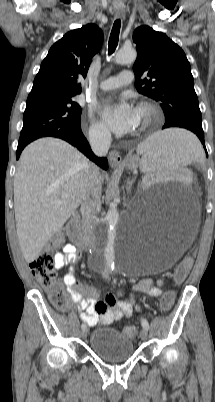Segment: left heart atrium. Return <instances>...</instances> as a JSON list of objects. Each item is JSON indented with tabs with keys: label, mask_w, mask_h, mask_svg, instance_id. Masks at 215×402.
<instances>
[{
	"label": "left heart atrium",
	"mask_w": 215,
	"mask_h": 402,
	"mask_svg": "<svg viewBox=\"0 0 215 402\" xmlns=\"http://www.w3.org/2000/svg\"><path fill=\"white\" fill-rule=\"evenodd\" d=\"M102 117L112 131L126 134L133 131L136 122V110L125 98L106 104L101 111Z\"/></svg>",
	"instance_id": "39dd6f15"
}]
</instances>
